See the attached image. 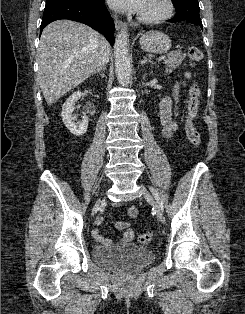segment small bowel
<instances>
[{"label":"small bowel","mask_w":245,"mask_h":314,"mask_svg":"<svg viewBox=\"0 0 245 314\" xmlns=\"http://www.w3.org/2000/svg\"><path fill=\"white\" fill-rule=\"evenodd\" d=\"M185 77L189 79L191 77L189 72H185ZM179 85H177L174 89L172 95L165 96L160 104V120L162 124V135L165 138H170L172 135L178 130L177 123L175 121V117L177 116V100H178V92ZM129 213L132 217H136L138 210L135 206L130 207ZM117 228L123 230L121 242L130 243L135 239L134 230L128 228L127 222H118ZM94 237L97 241L102 243L103 245H109L111 241L109 239L104 238L98 231L93 232Z\"/></svg>","instance_id":"small-bowel-1"}]
</instances>
